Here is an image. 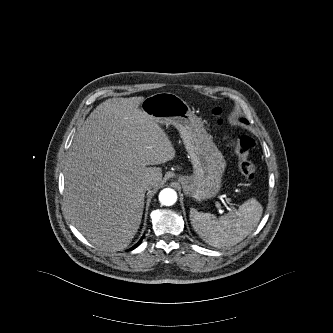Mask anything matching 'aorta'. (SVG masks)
<instances>
[{
  "mask_svg": "<svg viewBox=\"0 0 333 333\" xmlns=\"http://www.w3.org/2000/svg\"><path fill=\"white\" fill-rule=\"evenodd\" d=\"M159 201L165 206H171L177 201V193L171 188H165L159 193Z\"/></svg>",
  "mask_w": 333,
  "mask_h": 333,
  "instance_id": "aorta-1",
  "label": "aorta"
}]
</instances>
